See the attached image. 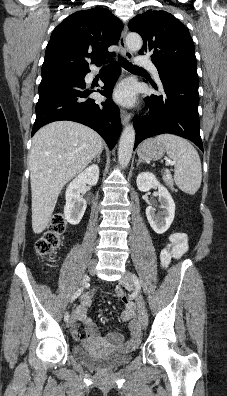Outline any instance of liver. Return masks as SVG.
<instances>
[{
  "instance_id": "liver-1",
  "label": "liver",
  "mask_w": 227,
  "mask_h": 396,
  "mask_svg": "<svg viewBox=\"0 0 227 396\" xmlns=\"http://www.w3.org/2000/svg\"><path fill=\"white\" fill-rule=\"evenodd\" d=\"M103 143L94 130L72 121L52 122L33 136L29 168L35 234L47 227L65 184L102 152Z\"/></svg>"
}]
</instances>
